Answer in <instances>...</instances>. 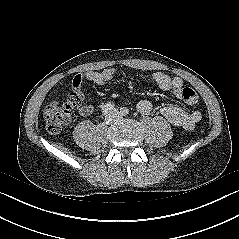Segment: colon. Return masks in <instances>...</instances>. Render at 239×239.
<instances>
[{"mask_svg":"<svg viewBox=\"0 0 239 239\" xmlns=\"http://www.w3.org/2000/svg\"><path fill=\"white\" fill-rule=\"evenodd\" d=\"M181 97L188 105H196L198 103V95L190 87L182 89ZM78 105V98L73 92L69 93L65 100L51 101L44 110L47 130L52 134L60 133L71 122L73 111Z\"/></svg>","mask_w":239,"mask_h":239,"instance_id":"5ec220e1","label":"colon"}]
</instances>
